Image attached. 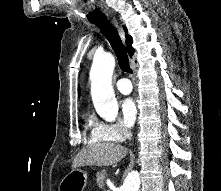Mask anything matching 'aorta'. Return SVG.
I'll use <instances>...</instances> for the list:
<instances>
[{"instance_id":"1","label":"aorta","mask_w":221,"mask_h":191,"mask_svg":"<svg viewBox=\"0 0 221 191\" xmlns=\"http://www.w3.org/2000/svg\"><path fill=\"white\" fill-rule=\"evenodd\" d=\"M115 58L110 53L96 55L90 70L91 96L97 113L107 121H113L118 114V103L112 88V74ZM140 174L131 171L125 178L122 191H139Z\"/></svg>"}]
</instances>
